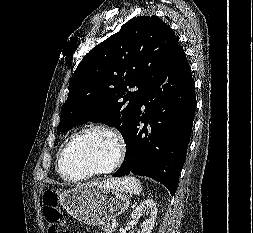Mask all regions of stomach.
I'll return each instance as SVG.
<instances>
[{
    "mask_svg": "<svg viewBox=\"0 0 253 233\" xmlns=\"http://www.w3.org/2000/svg\"><path fill=\"white\" fill-rule=\"evenodd\" d=\"M58 201L73 218L90 226L107 223L129 206L123 191L96 182L59 192Z\"/></svg>",
    "mask_w": 253,
    "mask_h": 233,
    "instance_id": "0dacf381",
    "label": "stomach"
}]
</instances>
